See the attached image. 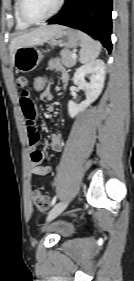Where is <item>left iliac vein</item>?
<instances>
[{
  "label": "left iliac vein",
  "instance_id": "left-iliac-vein-1",
  "mask_svg": "<svg viewBox=\"0 0 134 281\" xmlns=\"http://www.w3.org/2000/svg\"><path fill=\"white\" fill-rule=\"evenodd\" d=\"M70 201V198L65 200V201H61L58 204H56L51 211L49 212L48 216H47V221H52L53 219H55L57 216H59L62 211L67 207L68 203Z\"/></svg>",
  "mask_w": 134,
  "mask_h": 281
}]
</instances>
